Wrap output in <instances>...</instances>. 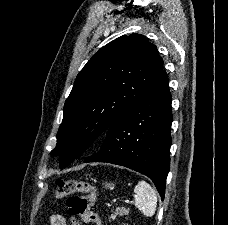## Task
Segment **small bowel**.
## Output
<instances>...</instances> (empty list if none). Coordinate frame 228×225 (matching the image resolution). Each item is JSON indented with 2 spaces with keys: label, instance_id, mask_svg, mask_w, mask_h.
Wrapping results in <instances>:
<instances>
[{
  "label": "small bowel",
  "instance_id": "obj_1",
  "mask_svg": "<svg viewBox=\"0 0 228 225\" xmlns=\"http://www.w3.org/2000/svg\"><path fill=\"white\" fill-rule=\"evenodd\" d=\"M50 225H67L66 219L63 215L54 213L49 218ZM69 225H80V222L76 218H70Z\"/></svg>",
  "mask_w": 228,
  "mask_h": 225
}]
</instances>
